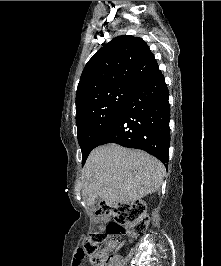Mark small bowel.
Returning a JSON list of instances; mask_svg holds the SVG:
<instances>
[{
    "label": "small bowel",
    "mask_w": 221,
    "mask_h": 266,
    "mask_svg": "<svg viewBox=\"0 0 221 266\" xmlns=\"http://www.w3.org/2000/svg\"><path fill=\"white\" fill-rule=\"evenodd\" d=\"M102 221H107V217H102ZM77 251H85L86 247L85 246H77L76 247ZM73 263L72 266H83V261H84V252H73Z\"/></svg>",
    "instance_id": "small-bowel-1"
}]
</instances>
